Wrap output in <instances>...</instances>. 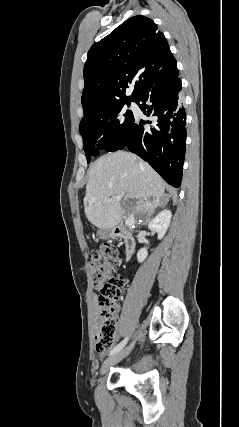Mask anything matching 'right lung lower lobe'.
Listing matches in <instances>:
<instances>
[{
    "label": "right lung lower lobe",
    "mask_w": 239,
    "mask_h": 427,
    "mask_svg": "<svg viewBox=\"0 0 239 427\" xmlns=\"http://www.w3.org/2000/svg\"><path fill=\"white\" fill-rule=\"evenodd\" d=\"M178 74L144 89L135 99L150 120L135 117L128 140L120 148L140 156L173 187L181 184L186 146V113Z\"/></svg>",
    "instance_id": "1"
}]
</instances>
